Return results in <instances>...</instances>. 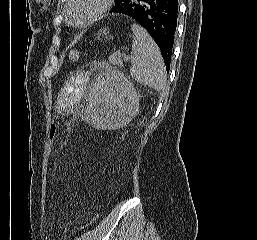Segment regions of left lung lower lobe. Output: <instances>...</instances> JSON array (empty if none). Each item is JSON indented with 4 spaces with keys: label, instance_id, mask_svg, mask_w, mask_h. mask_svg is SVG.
<instances>
[{
    "label": "left lung lower lobe",
    "instance_id": "0a47b994",
    "mask_svg": "<svg viewBox=\"0 0 257 240\" xmlns=\"http://www.w3.org/2000/svg\"><path fill=\"white\" fill-rule=\"evenodd\" d=\"M110 12L129 16L150 33L161 50L168 72L177 26L178 0H122Z\"/></svg>",
    "mask_w": 257,
    "mask_h": 240
}]
</instances>
